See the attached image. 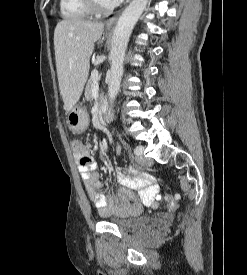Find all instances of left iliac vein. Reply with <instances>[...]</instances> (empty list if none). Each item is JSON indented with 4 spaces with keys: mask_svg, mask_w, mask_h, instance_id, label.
Instances as JSON below:
<instances>
[{
    "mask_svg": "<svg viewBox=\"0 0 247 275\" xmlns=\"http://www.w3.org/2000/svg\"><path fill=\"white\" fill-rule=\"evenodd\" d=\"M138 149H139V152L136 155H137V161H138L139 165L145 166V167L151 166L153 164L152 160L146 158L143 155L144 147L138 146Z\"/></svg>",
    "mask_w": 247,
    "mask_h": 275,
    "instance_id": "4c4485c4",
    "label": "left iliac vein"
}]
</instances>
